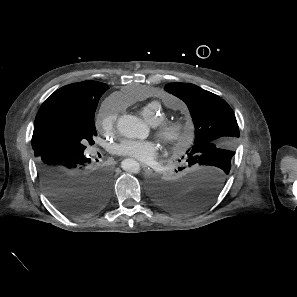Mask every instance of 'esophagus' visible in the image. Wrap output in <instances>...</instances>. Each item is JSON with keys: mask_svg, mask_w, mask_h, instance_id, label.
Returning <instances> with one entry per match:
<instances>
[{"mask_svg": "<svg viewBox=\"0 0 297 297\" xmlns=\"http://www.w3.org/2000/svg\"><path fill=\"white\" fill-rule=\"evenodd\" d=\"M141 166H142V168H143V170L146 172V173H151L152 172V169L149 167V166H147L146 164H141Z\"/></svg>", "mask_w": 297, "mask_h": 297, "instance_id": "esophagus-1", "label": "esophagus"}]
</instances>
